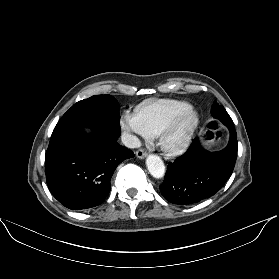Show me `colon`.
<instances>
[{
  "label": "colon",
  "mask_w": 279,
  "mask_h": 279,
  "mask_svg": "<svg viewBox=\"0 0 279 279\" xmlns=\"http://www.w3.org/2000/svg\"><path fill=\"white\" fill-rule=\"evenodd\" d=\"M220 137L221 132L215 123H210L202 133V139L208 144L217 142Z\"/></svg>",
  "instance_id": "colon-1"
}]
</instances>
